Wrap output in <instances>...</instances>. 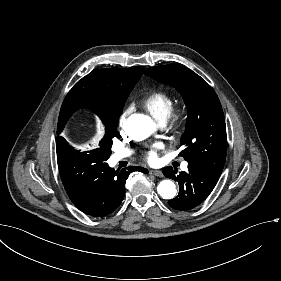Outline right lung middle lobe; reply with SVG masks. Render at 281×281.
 <instances>
[{"mask_svg": "<svg viewBox=\"0 0 281 281\" xmlns=\"http://www.w3.org/2000/svg\"><path fill=\"white\" fill-rule=\"evenodd\" d=\"M121 114L102 113L99 115L100 119L105 125L106 133L99 142V147L96 149L98 153L103 155L106 159L111 154L112 138L117 135L118 118Z\"/></svg>", "mask_w": 281, "mask_h": 281, "instance_id": "obj_1", "label": "right lung middle lobe"}]
</instances>
